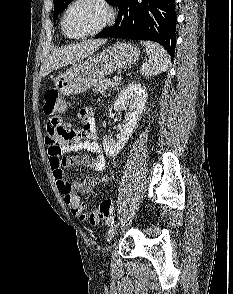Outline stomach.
<instances>
[{"mask_svg":"<svg viewBox=\"0 0 233 294\" xmlns=\"http://www.w3.org/2000/svg\"><path fill=\"white\" fill-rule=\"evenodd\" d=\"M139 55L135 45L117 42L59 74L54 79L55 88L65 96L80 94L114 71L131 66Z\"/></svg>","mask_w":233,"mask_h":294,"instance_id":"0dacf381","label":"stomach"}]
</instances>
